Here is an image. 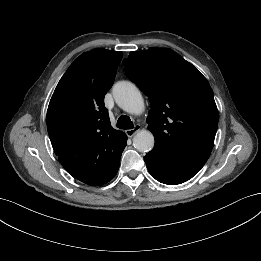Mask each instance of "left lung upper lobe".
<instances>
[{"instance_id": "1", "label": "left lung upper lobe", "mask_w": 261, "mask_h": 261, "mask_svg": "<svg viewBox=\"0 0 261 261\" xmlns=\"http://www.w3.org/2000/svg\"><path fill=\"white\" fill-rule=\"evenodd\" d=\"M125 71L150 100L146 122L153 150L190 161H207L218 126V110L206 78L171 49L130 52Z\"/></svg>"}]
</instances>
